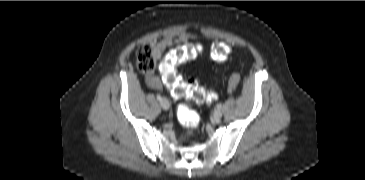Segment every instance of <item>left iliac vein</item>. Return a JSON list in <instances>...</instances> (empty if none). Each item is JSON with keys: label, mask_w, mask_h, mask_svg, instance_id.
<instances>
[{"label": "left iliac vein", "mask_w": 365, "mask_h": 180, "mask_svg": "<svg viewBox=\"0 0 365 180\" xmlns=\"http://www.w3.org/2000/svg\"><path fill=\"white\" fill-rule=\"evenodd\" d=\"M222 117V112L220 109H216L214 112H213V118L215 120H220Z\"/></svg>", "instance_id": "obj_1"}]
</instances>
